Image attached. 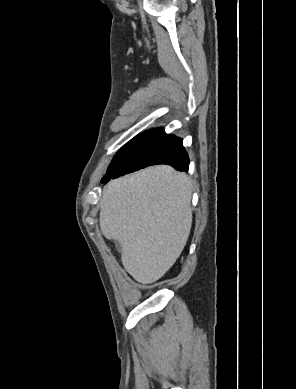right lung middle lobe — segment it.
<instances>
[{"label": "right lung middle lobe", "mask_w": 296, "mask_h": 389, "mask_svg": "<svg viewBox=\"0 0 296 389\" xmlns=\"http://www.w3.org/2000/svg\"><path fill=\"white\" fill-rule=\"evenodd\" d=\"M166 136L163 129H153L137 135L118 151L107 171L142 166L149 153Z\"/></svg>", "instance_id": "dd1d6c3e"}]
</instances>
